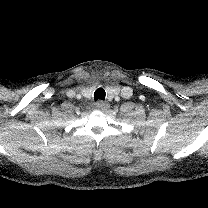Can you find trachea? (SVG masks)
<instances>
[{
  "label": "trachea",
  "mask_w": 208,
  "mask_h": 208,
  "mask_svg": "<svg viewBox=\"0 0 208 208\" xmlns=\"http://www.w3.org/2000/svg\"><path fill=\"white\" fill-rule=\"evenodd\" d=\"M106 96V92L103 88H98L94 93V100H104Z\"/></svg>",
  "instance_id": "obj_1"
}]
</instances>
